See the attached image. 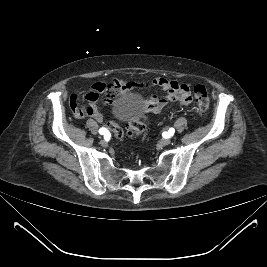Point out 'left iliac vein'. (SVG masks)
<instances>
[{
    "mask_svg": "<svg viewBox=\"0 0 267 267\" xmlns=\"http://www.w3.org/2000/svg\"><path fill=\"white\" fill-rule=\"evenodd\" d=\"M171 143V139L170 138H165V139H162L161 141H160V144L162 145V146H167V145H169Z\"/></svg>",
    "mask_w": 267,
    "mask_h": 267,
    "instance_id": "4c4485c4",
    "label": "left iliac vein"
}]
</instances>
